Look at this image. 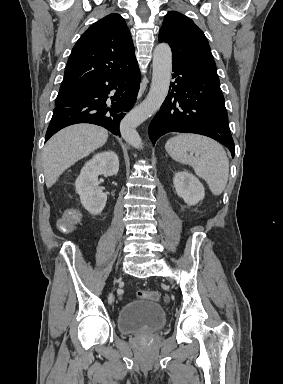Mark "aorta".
I'll return each instance as SVG.
<instances>
[{"mask_svg":"<svg viewBox=\"0 0 283 384\" xmlns=\"http://www.w3.org/2000/svg\"><path fill=\"white\" fill-rule=\"evenodd\" d=\"M172 52L168 44H158L153 53L152 82L145 100L129 112L120 124L123 139L131 146L141 149L142 140L136 127L151 117L165 100L171 80Z\"/></svg>","mask_w":283,"mask_h":384,"instance_id":"1","label":"aorta"}]
</instances>
